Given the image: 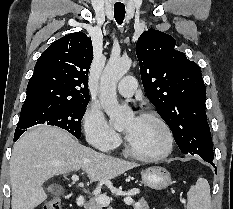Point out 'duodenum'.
<instances>
[{"label": "duodenum", "mask_w": 233, "mask_h": 209, "mask_svg": "<svg viewBox=\"0 0 233 209\" xmlns=\"http://www.w3.org/2000/svg\"><path fill=\"white\" fill-rule=\"evenodd\" d=\"M75 203L78 207H83L86 203V200L83 196L79 195L76 197Z\"/></svg>", "instance_id": "obj_1"}]
</instances>
